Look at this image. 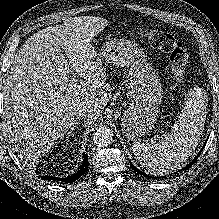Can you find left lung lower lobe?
Here are the masks:
<instances>
[{
  "instance_id": "obj_1",
  "label": "left lung lower lobe",
  "mask_w": 219,
  "mask_h": 219,
  "mask_svg": "<svg viewBox=\"0 0 219 219\" xmlns=\"http://www.w3.org/2000/svg\"><path fill=\"white\" fill-rule=\"evenodd\" d=\"M202 151V149H201ZM201 151L197 154V156L192 160V162H190L185 168H183V170L188 169L192 164H194L196 162V160L198 159L199 155L201 154ZM130 165L132 167V169L137 172L140 175H143L145 177H149L147 174H145L144 172L140 171L139 169H137L131 162Z\"/></svg>"
}]
</instances>
